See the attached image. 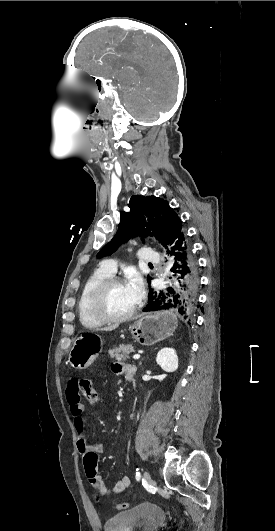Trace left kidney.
<instances>
[{
    "label": "left kidney",
    "mask_w": 275,
    "mask_h": 531,
    "mask_svg": "<svg viewBox=\"0 0 275 531\" xmlns=\"http://www.w3.org/2000/svg\"><path fill=\"white\" fill-rule=\"evenodd\" d=\"M157 365H160L166 373H174L178 369V357L175 349H161L156 357Z\"/></svg>",
    "instance_id": "1"
}]
</instances>
